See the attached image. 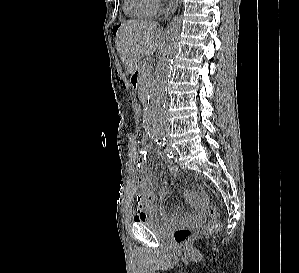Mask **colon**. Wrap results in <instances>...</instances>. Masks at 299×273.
Masks as SVG:
<instances>
[{
  "label": "colon",
  "mask_w": 299,
  "mask_h": 273,
  "mask_svg": "<svg viewBox=\"0 0 299 273\" xmlns=\"http://www.w3.org/2000/svg\"><path fill=\"white\" fill-rule=\"evenodd\" d=\"M140 142H141V145H142V149L148 150V139H147V137L143 136L140 139ZM218 214H219V210H218V207L216 205H210L208 207L207 216L211 221L215 220L217 218ZM214 228H215V224L209 223V224L204 225L200 229V231L201 232H209V231L213 230ZM193 234H194V230L192 228L182 226V227H179L175 230L173 238H174V241L177 244L182 245V244L187 243L191 239Z\"/></svg>",
  "instance_id": "1"
}]
</instances>
